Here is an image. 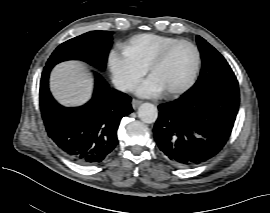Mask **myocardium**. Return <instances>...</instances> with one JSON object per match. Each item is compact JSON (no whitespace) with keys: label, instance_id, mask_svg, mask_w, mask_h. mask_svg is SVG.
Here are the masks:
<instances>
[{"label":"myocardium","instance_id":"1","mask_svg":"<svg viewBox=\"0 0 270 213\" xmlns=\"http://www.w3.org/2000/svg\"><path fill=\"white\" fill-rule=\"evenodd\" d=\"M180 45H189L193 48V50L195 51L196 54V65L194 67V70L192 72V75L190 77V79L180 88L178 89H173V90H168L164 92L165 96L171 97V96H177V95H181L185 92H187L189 89H191L193 87V85L196 82L197 76H198V72L200 69V65H201V55H200V51L198 49V47L192 43L191 41L188 40H179L171 45H169L168 47H166L163 51H161L150 63L148 66V72L149 75L152 76L153 71L155 70V68L160 65L168 56V54L177 46Z\"/></svg>","mask_w":270,"mask_h":213}]
</instances>
